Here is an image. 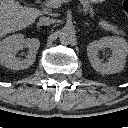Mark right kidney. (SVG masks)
<instances>
[{
  "label": "right kidney",
  "mask_w": 128,
  "mask_h": 128,
  "mask_svg": "<svg viewBox=\"0 0 128 128\" xmlns=\"http://www.w3.org/2000/svg\"><path fill=\"white\" fill-rule=\"evenodd\" d=\"M40 42L37 38H24L23 34H13L0 41V64L13 70L30 67L36 58ZM28 48L25 59L17 58L19 50Z\"/></svg>",
  "instance_id": "obj_1"
}]
</instances>
